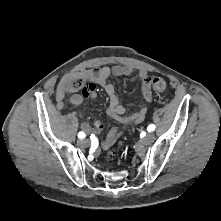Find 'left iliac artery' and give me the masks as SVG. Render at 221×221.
<instances>
[{"mask_svg": "<svg viewBox=\"0 0 221 221\" xmlns=\"http://www.w3.org/2000/svg\"><path fill=\"white\" fill-rule=\"evenodd\" d=\"M156 126L154 124H150L148 127H147V130L149 132H153L155 130Z\"/></svg>", "mask_w": 221, "mask_h": 221, "instance_id": "1", "label": "left iliac artery"}]
</instances>
